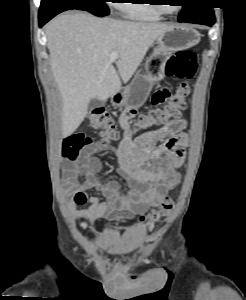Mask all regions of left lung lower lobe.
Instances as JSON below:
<instances>
[{"mask_svg": "<svg viewBox=\"0 0 246 300\" xmlns=\"http://www.w3.org/2000/svg\"><path fill=\"white\" fill-rule=\"evenodd\" d=\"M179 22H188V23H195V24H203L212 26L215 23V15L213 10L207 11L195 17L188 18L184 21Z\"/></svg>", "mask_w": 246, "mask_h": 300, "instance_id": "left-lung-lower-lobe-1", "label": "left lung lower lobe"}]
</instances>
